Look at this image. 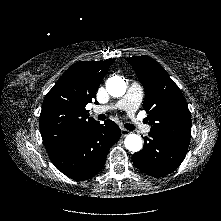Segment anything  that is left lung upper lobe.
I'll return each instance as SVG.
<instances>
[{
  "mask_svg": "<svg viewBox=\"0 0 221 221\" xmlns=\"http://www.w3.org/2000/svg\"><path fill=\"white\" fill-rule=\"evenodd\" d=\"M126 60L145 88L144 109L150 132L189 141L191 114L179 87L153 58L142 55Z\"/></svg>",
  "mask_w": 221,
  "mask_h": 221,
  "instance_id": "obj_1",
  "label": "left lung upper lobe"
}]
</instances>
